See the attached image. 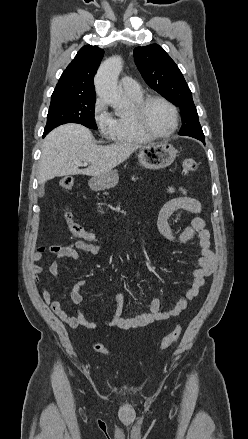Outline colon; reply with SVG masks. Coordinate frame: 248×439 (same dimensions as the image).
Segmentation results:
<instances>
[{
  "instance_id": "obj_1",
  "label": "colon",
  "mask_w": 248,
  "mask_h": 439,
  "mask_svg": "<svg viewBox=\"0 0 248 439\" xmlns=\"http://www.w3.org/2000/svg\"><path fill=\"white\" fill-rule=\"evenodd\" d=\"M183 172L185 174H191L197 168V163L193 158H184L182 161ZM73 179L71 177H64L60 180L59 186L62 190L69 191L73 188ZM65 221L69 227L70 232L79 238L87 241L88 243L97 245L101 241L100 237L88 230H86L81 224L76 222L72 214L66 211L64 214ZM182 333V327L180 325L176 326L168 335H166L160 342L159 349L166 350L172 346L180 337ZM94 349L102 354L109 355V350L102 344H96Z\"/></svg>"
}]
</instances>
